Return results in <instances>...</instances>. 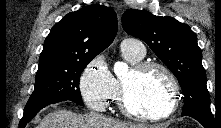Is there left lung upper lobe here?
Returning <instances> with one entry per match:
<instances>
[{
  "label": "left lung upper lobe",
  "mask_w": 221,
  "mask_h": 128,
  "mask_svg": "<svg viewBox=\"0 0 221 128\" xmlns=\"http://www.w3.org/2000/svg\"><path fill=\"white\" fill-rule=\"evenodd\" d=\"M123 29L140 38L178 79L183 91L182 115H213L197 36L191 28L169 16L129 9L122 15Z\"/></svg>",
  "instance_id": "5c2ea615"
}]
</instances>
